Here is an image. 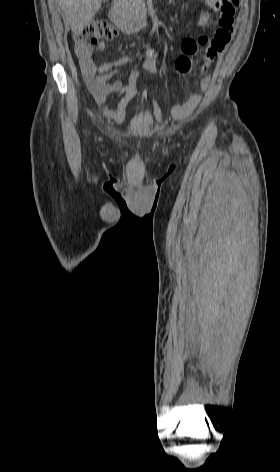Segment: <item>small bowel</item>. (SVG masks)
<instances>
[{
	"mask_svg": "<svg viewBox=\"0 0 280 472\" xmlns=\"http://www.w3.org/2000/svg\"><path fill=\"white\" fill-rule=\"evenodd\" d=\"M213 0H205L209 7L212 6ZM199 25L206 28L210 25V17L206 12L199 14ZM234 32L233 21L229 25H220L216 29L212 37L201 36L198 40L191 38L185 39L181 45L182 55L179 59L184 58L192 62V58L202 48L205 51V62L209 64L216 55L221 53L231 40ZM104 43H100L98 48L103 49ZM75 53L80 61L81 74L83 81L91 93L95 101L101 106L103 113L111 120H121L125 113V108L134 97L136 87L141 79L143 72L148 74L157 73V60L154 53L150 52L142 60L141 70L133 72L127 82L109 81L128 63V57L123 56L118 59L109 60L99 63L92 57L91 49L83 44H75ZM204 71V68L202 69ZM210 76L203 75L195 80L194 85L198 86L201 91L205 92L210 86ZM113 93L122 95L116 109H112L109 104V96ZM202 100L201 94L193 93L181 102L175 104L171 110V117L174 120H183L187 118L199 105ZM155 116L158 120L161 118V110L156 102H154Z\"/></svg>",
	"mask_w": 280,
	"mask_h": 472,
	"instance_id": "small-bowel-1",
	"label": "small bowel"
}]
</instances>
